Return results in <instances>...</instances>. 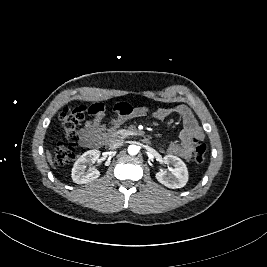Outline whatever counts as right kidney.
Returning <instances> with one entry per match:
<instances>
[{"label":"right kidney","mask_w":267,"mask_h":267,"mask_svg":"<svg viewBox=\"0 0 267 267\" xmlns=\"http://www.w3.org/2000/svg\"><path fill=\"white\" fill-rule=\"evenodd\" d=\"M100 151L97 149L89 150L83 153L74 163L71 177L73 182L77 184L89 183L100 176V172L94 168H87L88 164L98 162L100 160Z\"/></svg>","instance_id":"right-kidney-1"}]
</instances>
